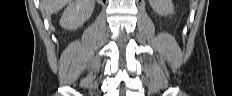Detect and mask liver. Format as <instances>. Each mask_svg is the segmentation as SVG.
Segmentation results:
<instances>
[{
	"instance_id": "liver-1",
	"label": "liver",
	"mask_w": 232,
	"mask_h": 96,
	"mask_svg": "<svg viewBox=\"0 0 232 96\" xmlns=\"http://www.w3.org/2000/svg\"><path fill=\"white\" fill-rule=\"evenodd\" d=\"M71 2L72 0H42L41 11L44 15L50 16Z\"/></svg>"
}]
</instances>
